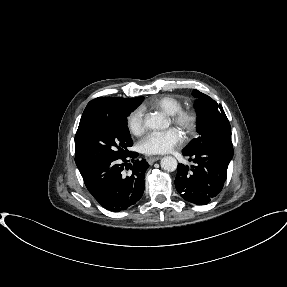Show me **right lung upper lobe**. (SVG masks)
<instances>
[{"label": "right lung upper lobe", "mask_w": 287, "mask_h": 287, "mask_svg": "<svg viewBox=\"0 0 287 287\" xmlns=\"http://www.w3.org/2000/svg\"><path fill=\"white\" fill-rule=\"evenodd\" d=\"M143 97L137 98H115V97H98L91 100L86 106L83 115L81 117L78 130L75 135V162L78 161L81 155L80 141L86 130L104 114L115 110L129 103H137ZM87 168H80V172H84Z\"/></svg>", "instance_id": "1"}]
</instances>
